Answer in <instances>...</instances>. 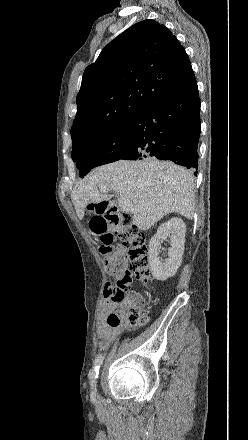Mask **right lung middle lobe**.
<instances>
[{
  "label": "right lung middle lobe",
  "instance_id": "1",
  "mask_svg": "<svg viewBox=\"0 0 248 440\" xmlns=\"http://www.w3.org/2000/svg\"><path fill=\"white\" fill-rule=\"evenodd\" d=\"M130 135L131 127L127 122L98 138L74 146L72 159L80 176L84 177L94 167L119 160L128 149Z\"/></svg>",
  "mask_w": 248,
  "mask_h": 440
}]
</instances>
